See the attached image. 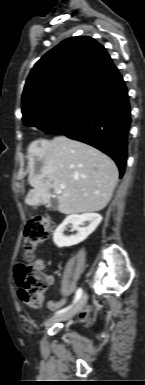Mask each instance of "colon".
Segmentation results:
<instances>
[{
	"instance_id": "5ec220e1",
	"label": "colon",
	"mask_w": 145,
	"mask_h": 385,
	"mask_svg": "<svg viewBox=\"0 0 145 385\" xmlns=\"http://www.w3.org/2000/svg\"><path fill=\"white\" fill-rule=\"evenodd\" d=\"M49 233L50 220L47 217H36L29 221L23 234V249L27 263L17 266L15 281L19 298L31 308L41 307L50 286L49 277L44 274L42 263L33 256L37 245L46 240Z\"/></svg>"
}]
</instances>
